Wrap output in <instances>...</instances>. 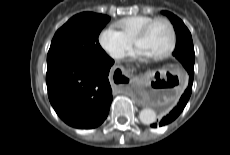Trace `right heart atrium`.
<instances>
[{
	"label": "right heart atrium",
	"instance_id": "right-heart-atrium-1",
	"mask_svg": "<svg viewBox=\"0 0 230 155\" xmlns=\"http://www.w3.org/2000/svg\"><path fill=\"white\" fill-rule=\"evenodd\" d=\"M98 43L101 49L114 60L122 59L133 44L113 26L105 27L100 31Z\"/></svg>",
	"mask_w": 230,
	"mask_h": 155
}]
</instances>
